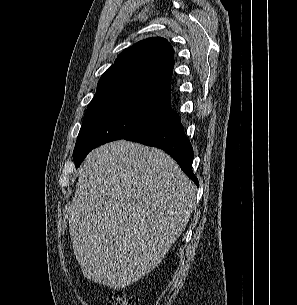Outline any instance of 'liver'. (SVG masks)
<instances>
[{"instance_id":"1","label":"liver","mask_w":297,"mask_h":305,"mask_svg":"<svg viewBox=\"0 0 297 305\" xmlns=\"http://www.w3.org/2000/svg\"><path fill=\"white\" fill-rule=\"evenodd\" d=\"M195 201L194 183L164 151L126 140L93 150L69 209L84 277L114 289L140 280L180 237Z\"/></svg>"}]
</instances>
